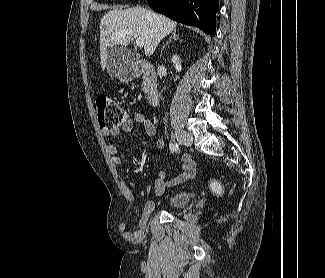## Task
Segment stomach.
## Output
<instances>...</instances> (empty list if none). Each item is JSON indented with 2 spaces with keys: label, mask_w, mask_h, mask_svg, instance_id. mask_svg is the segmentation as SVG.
Returning <instances> with one entry per match:
<instances>
[{
  "label": "stomach",
  "mask_w": 325,
  "mask_h": 278,
  "mask_svg": "<svg viewBox=\"0 0 325 278\" xmlns=\"http://www.w3.org/2000/svg\"><path fill=\"white\" fill-rule=\"evenodd\" d=\"M135 76V70L131 67H122L119 72V79L122 82H129Z\"/></svg>",
  "instance_id": "1"
}]
</instances>
